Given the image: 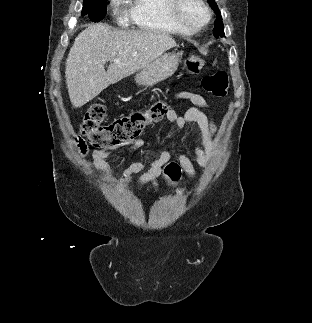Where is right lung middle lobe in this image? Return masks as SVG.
<instances>
[{
	"label": "right lung middle lobe",
	"instance_id": "dd1d6c3e",
	"mask_svg": "<svg viewBox=\"0 0 312 323\" xmlns=\"http://www.w3.org/2000/svg\"><path fill=\"white\" fill-rule=\"evenodd\" d=\"M81 14L94 22L101 21L106 15V0H84Z\"/></svg>",
	"mask_w": 312,
	"mask_h": 323
}]
</instances>
